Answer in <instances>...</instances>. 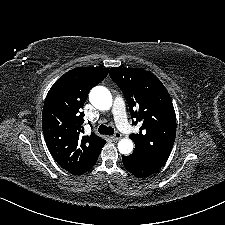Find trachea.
<instances>
[{
	"mask_svg": "<svg viewBox=\"0 0 225 225\" xmlns=\"http://www.w3.org/2000/svg\"><path fill=\"white\" fill-rule=\"evenodd\" d=\"M98 132L100 134H106V135H113L114 134V128L107 127L106 125H100L98 128Z\"/></svg>",
	"mask_w": 225,
	"mask_h": 225,
	"instance_id": "1",
	"label": "trachea"
}]
</instances>
